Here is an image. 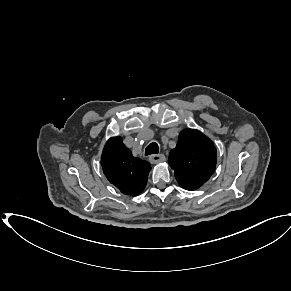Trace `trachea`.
I'll return each mask as SVG.
<instances>
[{"instance_id": "1", "label": "trachea", "mask_w": 291, "mask_h": 291, "mask_svg": "<svg viewBox=\"0 0 291 291\" xmlns=\"http://www.w3.org/2000/svg\"><path fill=\"white\" fill-rule=\"evenodd\" d=\"M159 151L158 144L156 142L150 143L145 149V155L157 154Z\"/></svg>"}]
</instances>
